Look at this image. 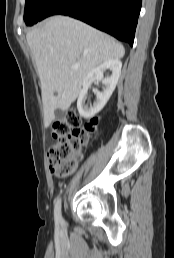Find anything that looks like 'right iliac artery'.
<instances>
[{
    "label": "right iliac artery",
    "instance_id": "obj_1",
    "mask_svg": "<svg viewBox=\"0 0 174 258\" xmlns=\"http://www.w3.org/2000/svg\"><path fill=\"white\" fill-rule=\"evenodd\" d=\"M54 217L57 223H62L63 219L61 216V198H58L55 203Z\"/></svg>",
    "mask_w": 174,
    "mask_h": 258
}]
</instances>
